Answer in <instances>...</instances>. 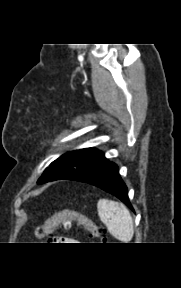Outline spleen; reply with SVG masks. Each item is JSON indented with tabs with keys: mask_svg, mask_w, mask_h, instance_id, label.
<instances>
[{
	"mask_svg": "<svg viewBox=\"0 0 181 288\" xmlns=\"http://www.w3.org/2000/svg\"><path fill=\"white\" fill-rule=\"evenodd\" d=\"M100 220L116 239L128 243L134 234V224L129 210L122 204L108 199L97 203Z\"/></svg>",
	"mask_w": 181,
	"mask_h": 288,
	"instance_id": "obj_1",
	"label": "spleen"
}]
</instances>
